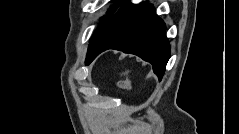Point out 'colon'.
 Here are the masks:
<instances>
[{
  "label": "colon",
  "instance_id": "obj_1",
  "mask_svg": "<svg viewBox=\"0 0 239 134\" xmlns=\"http://www.w3.org/2000/svg\"><path fill=\"white\" fill-rule=\"evenodd\" d=\"M129 71L123 70L121 72V79L118 81L117 85L120 89H127L129 87Z\"/></svg>",
  "mask_w": 239,
  "mask_h": 134
}]
</instances>
